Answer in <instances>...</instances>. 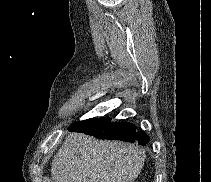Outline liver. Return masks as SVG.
Returning <instances> with one entry per match:
<instances>
[{
	"instance_id": "1",
	"label": "liver",
	"mask_w": 211,
	"mask_h": 182,
	"mask_svg": "<svg viewBox=\"0 0 211 182\" xmlns=\"http://www.w3.org/2000/svg\"><path fill=\"white\" fill-rule=\"evenodd\" d=\"M146 158L137 145L71 133L51 165L53 182H134Z\"/></svg>"
}]
</instances>
